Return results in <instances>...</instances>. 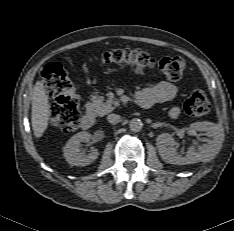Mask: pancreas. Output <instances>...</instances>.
<instances>
[{"instance_id":"1","label":"pancreas","mask_w":234,"mask_h":231,"mask_svg":"<svg viewBox=\"0 0 234 231\" xmlns=\"http://www.w3.org/2000/svg\"><path fill=\"white\" fill-rule=\"evenodd\" d=\"M90 100L89 106L98 116H104L119 106V101L116 99L104 101V97L99 95H92Z\"/></svg>"}]
</instances>
